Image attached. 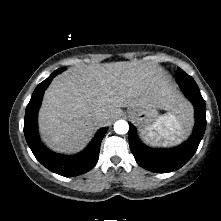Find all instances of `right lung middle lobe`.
<instances>
[{
	"instance_id": "1",
	"label": "right lung middle lobe",
	"mask_w": 221,
	"mask_h": 221,
	"mask_svg": "<svg viewBox=\"0 0 221 221\" xmlns=\"http://www.w3.org/2000/svg\"><path fill=\"white\" fill-rule=\"evenodd\" d=\"M65 68H61V69H58L56 71H54L52 74L55 76L57 75L58 73L62 72Z\"/></svg>"
}]
</instances>
